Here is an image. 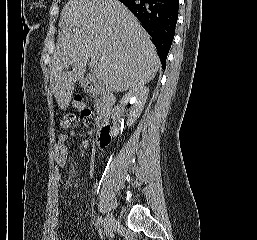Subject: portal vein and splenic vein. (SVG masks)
I'll list each match as a JSON object with an SVG mask.
<instances>
[{
	"label": "portal vein and splenic vein",
	"mask_w": 257,
	"mask_h": 240,
	"mask_svg": "<svg viewBox=\"0 0 257 240\" xmlns=\"http://www.w3.org/2000/svg\"><path fill=\"white\" fill-rule=\"evenodd\" d=\"M90 65L92 66L96 77H99L100 76L99 73H100V70H101L99 63L94 58H91Z\"/></svg>",
	"instance_id": "portal-vein-and-splenic-vein-1"
}]
</instances>
